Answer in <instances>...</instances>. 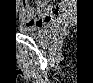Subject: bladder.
Wrapping results in <instances>:
<instances>
[{
  "label": "bladder",
  "instance_id": "1",
  "mask_svg": "<svg viewBox=\"0 0 93 83\" xmlns=\"http://www.w3.org/2000/svg\"><path fill=\"white\" fill-rule=\"evenodd\" d=\"M27 31L31 35H33V36H35V37H37L39 39H44L46 37V34H45V32H44V30L42 28L30 27V28L27 29Z\"/></svg>",
  "mask_w": 93,
  "mask_h": 83
}]
</instances>
